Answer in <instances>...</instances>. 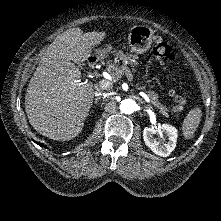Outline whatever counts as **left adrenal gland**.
Returning <instances> with one entry per match:
<instances>
[{
	"label": "left adrenal gland",
	"mask_w": 221,
	"mask_h": 221,
	"mask_svg": "<svg viewBox=\"0 0 221 221\" xmlns=\"http://www.w3.org/2000/svg\"><path fill=\"white\" fill-rule=\"evenodd\" d=\"M146 108H151L150 106H146Z\"/></svg>",
	"instance_id": "left-adrenal-gland-1"
}]
</instances>
